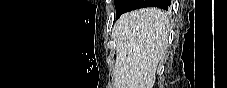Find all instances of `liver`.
Listing matches in <instances>:
<instances>
[{
  "label": "liver",
  "mask_w": 227,
  "mask_h": 88,
  "mask_svg": "<svg viewBox=\"0 0 227 88\" xmlns=\"http://www.w3.org/2000/svg\"><path fill=\"white\" fill-rule=\"evenodd\" d=\"M168 13L157 7L123 14L114 24L115 88H153L168 44Z\"/></svg>",
  "instance_id": "obj_1"
}]
</instances>
